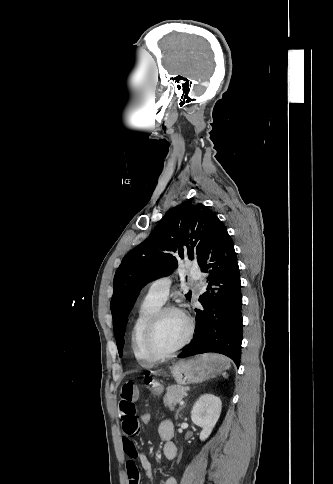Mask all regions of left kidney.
Wrapping results in <instances>:
<instances>
[{
	"label": "left kidney",
	"mask_w": 333,
	"mask_h": 484,
	"mask_svg": "<svg viewBox=\"0 0 333 484\" xmlns=\"http://www.w3.org/2000/svg\"><path fill=\"white\" fill-rule=\"evenodd\" d=\"M222 402L212 394L202 395L194 404L191 411L193 423L202 428L199 434L201 441H205L215 427L221 413Z\"/></svg>",
	"instance_id": "obj_1"
}]
</instances>
